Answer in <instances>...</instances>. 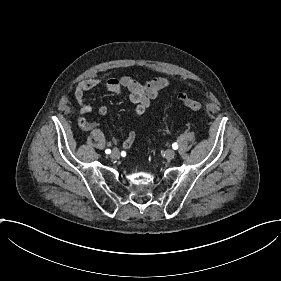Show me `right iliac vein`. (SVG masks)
<instances>
[{"mask_svg":"<svg viewBox=\"0 0 281 281\" xmlns=\"http://www.w3.org/2000/svg\"><path fill=\"white\" fill-rule=\"evenodd\" d=\"M111 155H112V157H113V158H115V159H116V158H118V157H119V155H120V154H119V152H118V151L113 150V151L111 152Z\"/></svg>","mask_w":281,"mask_h":281,"instance_id":"63e3f726","label":"right iliac vein"}]
</instances>
